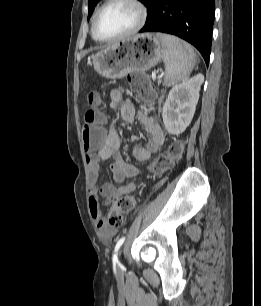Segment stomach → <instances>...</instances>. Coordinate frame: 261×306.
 <instances>
[{
    "label": "stomach",
    "mask_w": 261,
    "mask_h": 306,
    "mask_svg": "<svg viewBox=\"0 0 261 306\" xmlns=\"http://www.w3.org/2000/svg\"><path fill=\"white\" fill-rule=\"evenodd\" d=\"M162 59V44L153 33L130 36L92 55L95 71L108 79H120L132 72H145Z\"/></svg>",
    "instance_id": "0dacf381"
}]
</instances>
